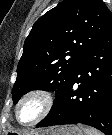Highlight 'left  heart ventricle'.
Instances as JSON below:
<instances>
[{
	"instance_id": "left-heart-ventricle-1",
	"label": "left heart ventricle",
	"mask_w": 112,
	"mask_h": 135,
	"mask_svg": "<svg viewBox=\"0 0 112 135\" xmlns=\"http://www.w3.org/2000/svg\"><path fill=\"white\" fill-rule=\"evenodd\" d=\"M41 102L37 98L26 100L18 110V118L22 123H28L35 119L41 111Z\"/></svg>"
}]
</instances>
